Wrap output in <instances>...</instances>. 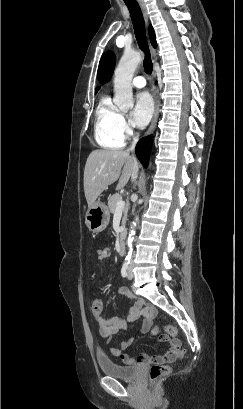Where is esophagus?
<instances>
[{
    "label": "esophagus",
    "mask_w": 243,
    "mask_h": 409,
    "mask_svg": "<svg viewBox=\"0 0 243 409\" xmlns=\"http://www.w3.org/2000/svg\"><path fill=\"white\" fill-rule=\"evenodd\" d=\"M141 11L143 13L144 19L146 24H149V18H148V13H147V8L145 3L143 2V0H138ZM150 50H151V54L153 59H155L156 57V49H154L152 46H150ZM153 77H155V73L153 74ZM153 97H154V113H153V117H152V121L150 124V127L148 129L147 135H151L156 127V123H157V119H158V115H159V97H158V92L156 87L154 86V81H153Z\"/></svg>",
    "instance_id": "1"
}]
</instances>
